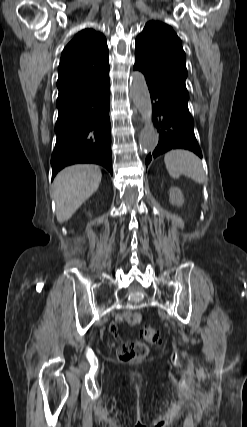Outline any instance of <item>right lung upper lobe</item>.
<instances>
[{
    "instance_id": "right-lung-upper-lobe-1",
    "label": "right lung upper lobe",
    "mask_w": 247,
    "mask_h": 427,
    "mask_svg": "<svg viewBox=\"0 0 247 427\" xmlns=\"http://www.w3.org/2000/svg\"><path fill=\"white\" fill-rule=\"evenodd\" d=\"M108 76L106 38L92 29H84L62 52L58 69V97L87 88Z\"/></svg>"
}]
</instances>
